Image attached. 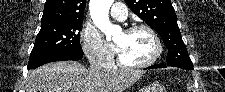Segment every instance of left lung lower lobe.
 Returning <instances> with one entry per match:
<instances>
[{
    "label": "left lung lower lobe",
    "instance_id": "obj_1",
    "mask_svg": "<svg viewBox=\"0 0 225 92\" xmlns=\"http://www.w3.org/2000/svg\"><path fill=\"white\" fill-rule=\"evenodd\" d=\"M172 67H179L185 70H192L193 69V64H184V63H178V64H169ZM166 65L164 64H158V65H153L148 67V69H152V68H165Z\"/></svg>",
    "mask_w": 225,
    "mask_h": 92
}]
</instances>
